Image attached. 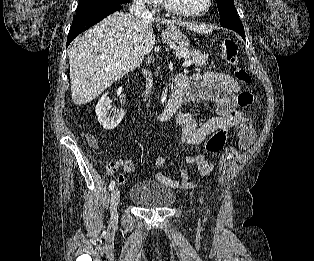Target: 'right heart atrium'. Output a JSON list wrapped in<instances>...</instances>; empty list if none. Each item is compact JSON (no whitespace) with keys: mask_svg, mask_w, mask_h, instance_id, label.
<instances>
[{"mask_svg":"<svg viewBox=\"0 0 314 261\" xmlns=\"http://www.w3.org/2000/svg\"><path fill=\"white\" fill-rule=\"evenodd\" d=\"M137 1L146 5H152V6H157L161 2V0H137Z\"/></svg>","mask_w":314,"mask_h":261,"instance_id":"right-heart-atrium-1","label":"right heart atrium"}]
</instances>
